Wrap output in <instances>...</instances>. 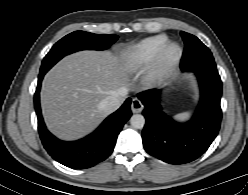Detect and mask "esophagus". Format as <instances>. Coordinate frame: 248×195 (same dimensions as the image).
<instances>
[{
  "label": "esophagus",
  "mask_w": 248,
  "mask_h": 195,
  "mask_svg": "<svg viewBox=\"0 0 248 195\" xmlns=\"http://www.w3.org/2000/svg\"><path fill=\"white\" fill-rule=\"evenodd\" d=\"M143 104L138 98H134L131 103V110L133 113H140L143 110Z\"/></svg>",
  "instance_id": "esophagus-1"
}]
</instances>
